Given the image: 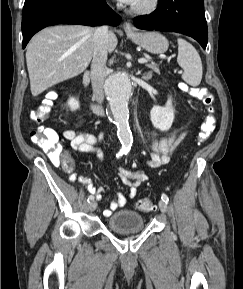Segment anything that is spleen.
Wrapping results in <instances>:
<instances>
[{"label": "spleen", "instance_id": "1", "mask_svg": "<svg viewBox=\"0 0 243 289\" xmlns=\"http://www.w3.org/2000/svg\"><path fill=\"white\" fill-rule=\"evenodd\" d=\"M177 62L183 68L182 79L191 86H198L202 79V62L196 49L186 40L177 39Z\"/></svg>", "mask_w": 243, "mask_h": 289}]
</instances>
